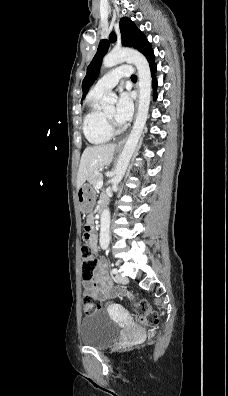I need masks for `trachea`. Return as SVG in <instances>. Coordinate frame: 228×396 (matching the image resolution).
Returning <instances> with one entry per match:
<instances>
[{
    "label": "trachea",
    "instance_id": "3493384b",
    "mask_svg": "<svg viewBox=\"0 0 228 396\" xmlns=\"http://www.w3.org/2000/svg\"><path fill=\"white\" fill-rule=\"evenodd\" d=\"M131 80H132V81H136V80H137V76H136V75H132V76H131Z\"/></svg>",
    "mask_w": 228,
    "mask_h": 396
}]
</instances>
